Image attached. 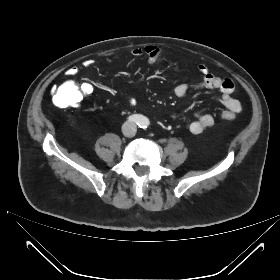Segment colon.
I'll use <instances>...</instances> for the list:
<instances>
[{"instance_id": "5ec220e1", "label": "colon", "mask_w": 280, "mask_h": 280, "mask_svg": "<svg viewBox=\"0 0 280 280\" xmlns=\"http://www.w3.org/2000/svg\"><path fill=\"white\" fill-rule=\"evenodd\" d=\"M52 99L54 104L61 108L74 106L81 101L79 87L73 80L67 79L54 88ZM222 117L233 119L231 114H224Z\"/></svg>"}]
</instances>
